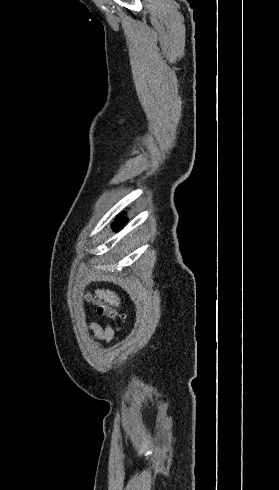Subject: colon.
<instances>
[{
    "mask_svg": "<svg viewBox=\"0 0 279 490\" xmlns=\"http://www.w3.org/2000/svg\"><path fill=\"white\" fill-rule=\"evenodd\" d=\"M91 300L94 302L96 306V313L99 316H107L111 319H115L116 317L120 316L119 313L114 308L110 307L108 304L96 298H91Z\"/></svg>",
    "mask_w": 279,
    "mask_h": 490,
    "instance_id": "1",
    "label": "colon"
}]
</instances>
